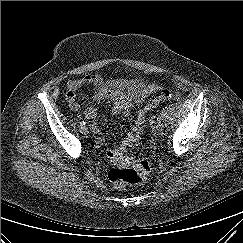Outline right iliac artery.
I'll use <instances>...</instances> for the list:
<instances>
[{
    "label": "right iliac artery",
    "mask_w": 243,
    "mask_h": 243,
    "mask_svg": "<svg viewBox=\"0 0 243 243\" xmlns=\"http://www.w3.org/2000/svg\"><path fill=\"white\" fill-rule=\"evenodd\" d=\"M80 126H84L85 125V122L84 121H81L79 122Z\"/></svg>",
    "instance_id": "obj_1"
}]
</instances>
